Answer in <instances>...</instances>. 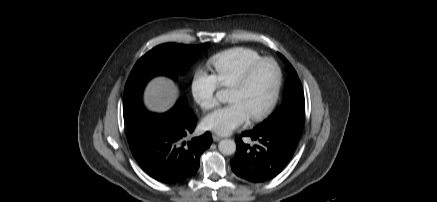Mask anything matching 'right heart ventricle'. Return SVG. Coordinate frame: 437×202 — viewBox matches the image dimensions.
<instances>
[{
  "label": "right heart ventricle",
  "instance_id": "e07e8e85",
  "mask_svg": "<svg viewBox=\"0 0 437 202\" xmlns=\"http://www.w3.org/2000/svg\"><path fill=\"white\" fill-rule=\"evenodd\" d=\"M260 58L262 56L253 49L235 47L213 55L209 65L220 86L231 87L247 66Z\"/></svg>",
  "mask_w": 437,
  "mask_h": 202
}]
</instances>
